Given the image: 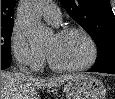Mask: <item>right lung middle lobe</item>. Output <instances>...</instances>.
<instances>
[{"mask_svg": "<svg viewBox=\"0 0 115 99\" xmlns=\"http://www.w3.org/2000/svg\"><path fill=\"white\" fill-rule=\"evenodd\" d=\"M13 31V25L1 26V62H11L10 40Z\"/></svg>", "mask_w": 115, "mask_h": 99, "instance_id": "obj_1", "label": "right lung middle lobe"}]
</instances>
